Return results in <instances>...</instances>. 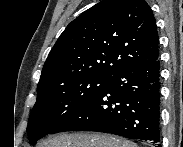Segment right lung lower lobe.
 <instances>
[{
  "mask_svg": "<svg viewBox=\"0 0 183 147\" xmlns=\"http://www.w3.org/2000/svg\"><path fill=\"white\" fill-rule=\"evenodd\" d=\"M159 77L158 59L119 71L50 134L96 131L160 142Z\"/></svg>",
  "mask_w": 183,
  "mask_h": 147,
  "instance_id": "98d812e1",
  "label": "right lung lower lobe"
}]
</instances>
